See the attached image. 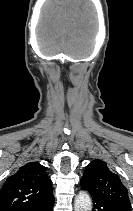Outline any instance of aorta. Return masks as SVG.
Segmentation results:
<instances>
[{"instance_id": "aorta-1", "label": "aorta", "mask_w": 133, "mask_h": 211, "mask_svg": "<svg viewBox=\"0 0 133 211\" xmlns=\"http://www.w3.org/2000/svg\"><path fill=\"white\" fill-rule=\"evenodd\" d=\"M74 211H92V202L87 192H80L74 201Z\"/></svg>"}]
</instances>
